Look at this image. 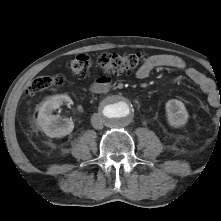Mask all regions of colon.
I'll return each instance as SVG.
<instances>
[{"instance_id":"obj_1","label":"colon","mask_w":221,"mask_h":221,"mask_svg":"<svg viewBox=\"0 0 221 221\" xmlns=\"http://www.w3.org/2000/svg\"><path fill=\"white\" fill-rule=\"evenodd\" d=\"M146 60L143 53L116 54L103 52L99 54L95 61L86 54L77 55L68 62V68L79 79L86 78L94 65H96L107 76L131 73L136 70ZM65 77L62 74L53 76H38L26 89L28 95H34L52 87L62 86ZM216 119L221 125V112Z\"/></svg>"}]
</instances>
